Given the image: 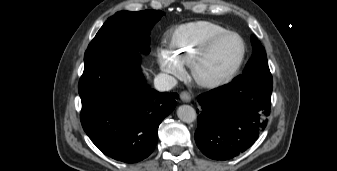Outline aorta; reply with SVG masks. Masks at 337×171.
Segmentation results:
<instances>
[{
	"instance_id": "1",
	"label": "aorta",
	"mask_w": 337,
	"mask_h": 171,
	"mask_svg": "<svg viewBox=\"0 0 337 171\" xmlns=\"http://www.w3.org/2000/svg\"><path fill=\"white\" fill-rule=\"evenodd\" d=\"M177 116L185 123H192L196 119V111L192 106L181 105L177 110Z\"/></svg>"
}]
</instances>
